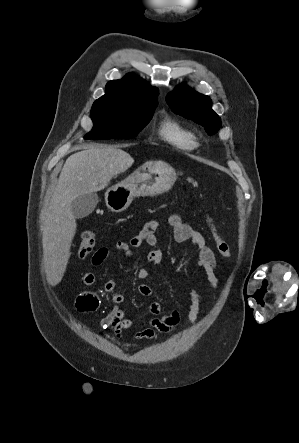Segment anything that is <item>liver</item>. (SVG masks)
<instances>
[{
  "label": "liver",
  "mask_w": 299,
  "mask_h": 443,
  "mask_svg": "<svg viewBox=\"0 0 299 443\" xmlns=\"http://www.w3.org/2000/svg\"><path fill=\"white\" fill-rule=\"evenodd\" d=\"M133 163L134 159L124 150L103 145L89 146L67 158L45 212L43 261L48 284H59L66 271L77 228L70 208L72 201L103 190L114 176Z\"/></svg>",
  "instance_id": "6515ba94"
}]
</instances>
